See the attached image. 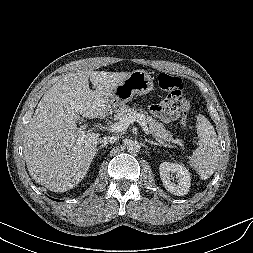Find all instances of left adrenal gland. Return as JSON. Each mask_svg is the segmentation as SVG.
<instances>
[{"mask_svg":"<svg viewBox=\"0 0 253 253\" xmlns=\"http://www.w3.org/2000/svg\"><path fill=\"white\" fill-rule=\"evenodd\" d=\"M149 144L151 145H157V146H161V144L157 143V142H153V141H147Z\"/></svg>","mask_w":253,"mask_h":253,"instance_id":"a2214340","label":"left adrenal gland"}]
</instances>
